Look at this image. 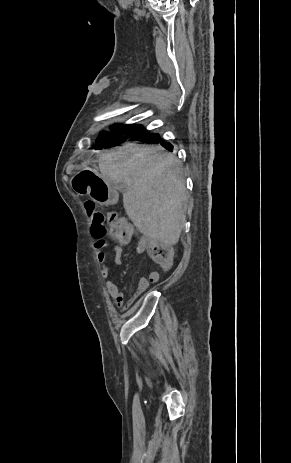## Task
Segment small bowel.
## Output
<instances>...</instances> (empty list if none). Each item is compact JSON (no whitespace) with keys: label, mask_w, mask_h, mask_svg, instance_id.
Masks as SVG:
<instances>
[{"label":"small bowel","mask_w":291,"mask_h":463,"mask_svg":"<svg viewBox=\"0 0 291 463\" xmlns=\"http://www.w3.org/2000/svg\"><path fill=\"white\" fill-rule=\"evenodd\" d=\"M131 239L128 240H117L118 244L114 245L113 252L114 258L111 264L108 263L107 255L98 248V260L102 264L101 276L104 278L105 289L109 294L111 301L114 306L125 311L127 310L150 286L151 283L157 282L159 280V273L154 271L148 277H141L138 282L137 289L131 299L125 303L124 293L119 289V287L110 279V267H118L122 264V246L127 244ZM137 242V251L142 253L143 251L140 248L139 239L136 238ZM97 248V247H96Z\"/></svg>","instance_id":"c3829d8e"}]
</instances>
